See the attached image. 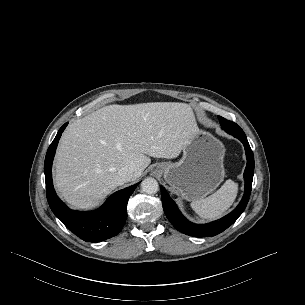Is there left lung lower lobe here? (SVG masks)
I'll list each match as a JSON object with an SVG mask.
<instances>
[{
	"label": "left lung lower lobe",
	"mask_w": 305,
	"mask_h": 305,
	"mask_svg": "<svg viewBox=\"0 0 305 305\" xmlns=\"http://www.w3.org/2000/svg\"><path fill=\"white\" fill-rule=\"evenodd\" d=\"M233 136L238 138L244 144L246 157H247V165L244 171L245 192L243 199L241 200L240 204L233 212L226 215L219 221H214L207 224H194L189 222L181 214L175 202L169 197V194L167 193L165 188L161 186L162 204H163L164 212L167 218L169 219V221L178 231L194 237L215 236L223 232L229 226H231L246 208L252 188V181L254 174V155L247 141L246 135L245 136L233 135Z\"/></svg>",
	"instance_id": "0a47b994"
}]
</instances>
